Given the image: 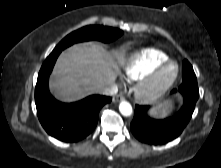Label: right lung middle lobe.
Returning <instances> with one entry per match:
<instances>
[{"instance_id":"right-lung-middle-lobe-1","label":"right lung middle lobe","mask_w":221,"mask_h":168,"mask_svg":"<svg viewBox=\"0 0 221 168\" xmlns=\"http://www.w3.org/2000/svg\"><path fill=\"white\" fill-rule=\"evenodd\" d=\"M123 31L111 27L104 26H85L69 35H67L53 50V52L62 51L70 45L89 40H99L102 42H111L120 37Z\"/></svg>"}]
</instances>
